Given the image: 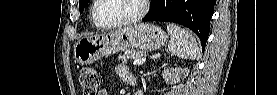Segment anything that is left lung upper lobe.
Instances as JSON below:
<instances>
[{
	"label": "left lung upper lobe",
	"instance_id": "left-lung-upper-lobe-1",
	"mask_svg": "<svg viewBox=\"0 0 277 95\" xmlns=\"http://www.w3.org/2000/svg\"><path fill=\"white\" fill-rule=\"evenodd\" d=\"M89 0H79V7H80V13L83 12L85 5L88 3Z\"/></svg>",
	"mask_w": 277,
	"mask_h": 95
}]
</instances>
